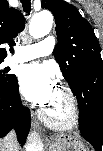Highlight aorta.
I'll return each instance as SVG.
<instances>
[{"mask_svg": "<svg viewBox=\"0 0 103 151\" xmlns=\"http://www.w3.org/2000/svg\"><path fill=\"white\" fill-rule=\"evenodd\" d=\"M53 24V15L47 10H43L31 19L29 25V33L34 38H41L49 34ZM41 148L36 144H29L26 147V151H41Z\"/></svg>", "mask_w": 103, "mask_h": 151, "instance_id": "aorta-1", "label": "aorta"}]
</instances>
